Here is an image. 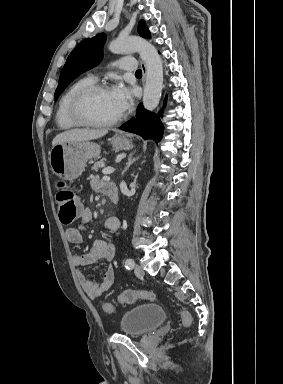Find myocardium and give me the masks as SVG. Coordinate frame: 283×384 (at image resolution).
<instances>
[{
  "label": "myocardium",
  "instance_id": "obj_1",
  "mask_svg": "<svg viewBox=\"0 0 283 384\" xmlns=\"http://www.w3.org/2000/svg\"><path fill=\"white\" fill-rule=\"evenodd\" d=\"M109 89V86L104 83H92L79 90L72 98L69 105V118L77 126L90 129H107L115 126L122 119V114L107 122H94L86 120L81 114V107L84 101L94 93L100 90Z\"/></svg>",
  "mask_w": 283,
  "mask_h": 384
}]
</instances>
